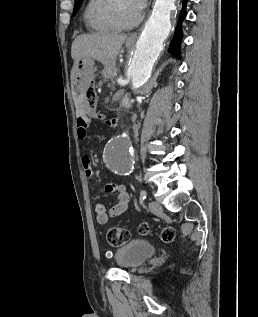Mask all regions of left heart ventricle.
Returning a JSON list of instances; mask_svg holds the SVG:
<instances>
[{
    "label": "left heart ventricle",
    "instance_id": "b2bd125f",
    "mask_svg": "<svg viewBox=\"0 0 258 317\" xmlns=\"http://www.w3.org/2000/svg\"><path fill=\"white\" fill-rule=\"evenodd\" d=\"M136 17V9L128 3H123L117 11V19L123 27L132 25Z\"/></svg>",
    "mask_w": 258,
    "mask_h": 317
}]
</instances>
